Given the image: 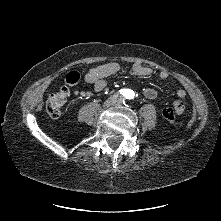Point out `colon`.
<instances>
[{
  "instance_id": "1",
  "label": "colon",
  "mask_w": 221,
  "mask_h": 221,
  "mask_svg": "<svg viewBox=\"0 0 221 221\" xmlns=\"http://www.w3.org/2000/svg\"><path fill=\"white\" fill-rule=\"evenodd\" d=\"M79 77L80 76L77 71H71L66 76V82L68 84H74L79 80ZM68 94V88L62 86L49 95L46 103V111L50 116L58 117L60 115L61 108L65 104ZM183 112L184 109L179 106L174 108L168 107L163 110V116L167 120L173 121L176 114H182Z\"/></svg>"
}]
</instances>
